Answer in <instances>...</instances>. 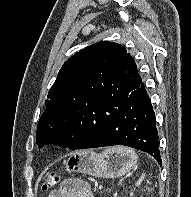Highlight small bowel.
<instances>
[{"instance_id":"c3829d8e","label":"small bowel","mask_w":191,"mask_h":197,"mask_svg":"<svg viewBox=\"0 0 191 197\" xmlns=\"http://www.w3.org/2000/svg\"><path fill=\"white\" fill-rule=\"evenodd\" d=\"M49 197H94L86 183L67 182L59 190L52 192Z\"/></svg>"}]
</instances>
